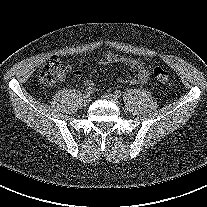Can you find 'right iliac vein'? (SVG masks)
Returning <instances> with one entry per match:
<instances>
[{
	"instance_id": "obj_1",
	"label": "right iliac vein",
	"mask_w": 207,
	"mask_h": 207,
	"mask_svg": "<svg viewBox=\"0 0 207 207\" xmlns=\"http://www.w3.org/2000/svg\"><path fill=\"white\" fill-rule=\"evenodd\" d=\"M82 100H83V102H84L85 104H87V103H89V102L91 101V97H90V95H88V94H84Z\"/></svg>"
}]
</instances>
